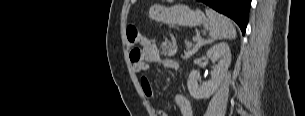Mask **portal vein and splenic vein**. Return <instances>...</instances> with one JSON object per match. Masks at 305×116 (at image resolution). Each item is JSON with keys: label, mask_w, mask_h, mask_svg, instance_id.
<instances>
[{"label": "portal vein and splenic vein", "mask_w": 305, "mask_h": 116, "mask_svg": "<svg viewBox=\"0 0 305 116\" xmlns=\"http://www.w3.org/2000/svg\"><path fill=\"white\" fill-rule=\"evenodd\" d=\"M197 37H198L197 44H201V43H202V40H201L200 36H199V35H197Z\"/></svg>", "instance_id": "18ae733b"}]
</instances>
